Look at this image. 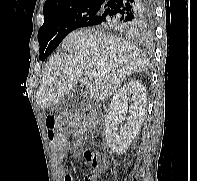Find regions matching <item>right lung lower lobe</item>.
I'll return each instance as SVG.
<instances>
[{"instance_id": "1", "label": "right lung lower lobe", "mask_w": 197, "mask_h": 181, "mask_svg": "<svg viewBox=\"0 0 197 181\" xmlns=\"http://www.w3.org/2000/svg\"><path fill=\"white\" fill-rule=\"evenodd\" d=\"M103 12L89 19L88 26H103L122 32L138 33L154 16V0H109Z\"/></svg>"}]
</instances>
